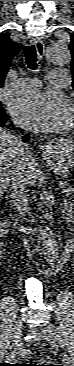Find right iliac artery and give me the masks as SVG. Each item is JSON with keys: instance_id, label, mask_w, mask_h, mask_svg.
<instances>
[{"instance_id": "82829eb1", "label": "right iliac artery", "mask_w": 74, "mask_h": 366, "mask_svg": "<svg viewBox=\"0 0 74 366\" xmlns=\"http://www.w3.org/2000/svg\"><path fill=\"white\" fill-rule=\"evenodd\" d=\"M15 355L11 354V357H14Z\"/></svg>"}]
</instances>
